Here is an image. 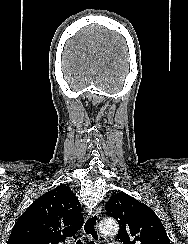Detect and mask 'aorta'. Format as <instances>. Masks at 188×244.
Here are the masks:
<instances>
[{"label": "aorta", "mask_w": 188, "mask_h": 244, "mask_svg": "<svg viewBox=\"0 0 188 244\" xmlns=\"http://www.w3.org/2000/svg\"><path fill=\"white\" fill-rule=\"evenodd\" d=\"M99 230L104 235H114L118 232V224L113 218H104L99 224Z\"/></svg>", "instance_id": "762f6f07"}]
</instances>
